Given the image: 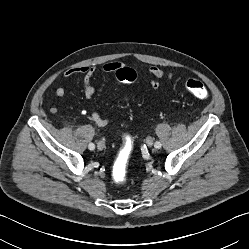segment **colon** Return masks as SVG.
<instances>
[{"instance_id": "obj_1", "label": "colon", "mask_w": 249, "mask_h": 249, "mask_svg": "<svg viewBox=\"0 0 249 249\" xmlns=\"http://www.w3.org/2000/svg\"><path fill=\"white\" fill-rule=\"evenodd\" d=\"M136 72L130 68H120L116 72V79L125 83H132L136 80ZM185 89L199 99H206L209 95L205 85L194 79L183 82ZM131 142L126 140L121 148L118 158L113 168L114 179L116 182H121L125 179L128 168V157L131 151Z\"/></svg>"}]
</instances>
